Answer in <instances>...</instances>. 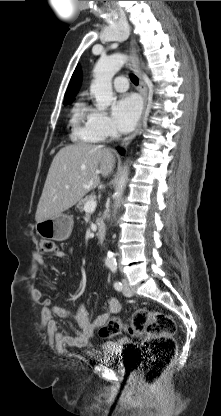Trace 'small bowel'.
<instances>
[{
	"instance_id": "1",
	"label": "small bowel",
	"mask_w": 221,
	"mask_h": 416,
	"mask_svg": "<svg viewBox=\"0 0 221 416\" xmlns=\"http://www.w3.org/2000/svg\"><path fill=\"white\" fill-rule=\"evenodd\" d=\"M73 253L72 249H69V254ZM54 256L60 260L67 259V254L62 250H56ZM35 262L43 268H47L48 265L44 261L41 255L35 256ZM36 299L42 301L44 307L42 310V316L46 321L48 328L54 333L56 341L61 345H67L75 348H84L89 344L91 338L94 337L96 331L112 316L118 314L121 310V304L117 298H110L107 303V309L99 314L94 319L91 318V313L86 308L84 303L80 304L77 308L76 314L72 315L68 310L60 306H50V300L44 299L41 292H36ZM55 317L63 319H72L77 325V331L74 335L60 331L58 323ZM115 345L113 342H107L104 344L109 350Z\"/></svg>"
}]
</instances>
